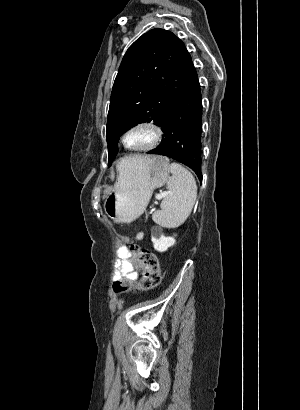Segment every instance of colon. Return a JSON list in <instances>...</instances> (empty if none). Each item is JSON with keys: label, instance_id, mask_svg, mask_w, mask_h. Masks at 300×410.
<instances>
[{"label": "colon", "instance_id": "1", "mask_svg": "<svg viewBox=\"0 0 300 410\" xmlns=\"http://www.w3.org/2000/svg\"><path fill=\"white\" fill-rule=\"evenodd\" d=\"M130 252L132 254L133 262L142 269V278L137 285H134L129 279H121L114 282V293L122 294L133 289L147 291L156 288L161 281L157 255L138 245H131Z\"/></svg>", "mask_w": 300, "mask_h": 410}]
</instances>
